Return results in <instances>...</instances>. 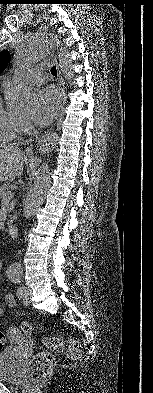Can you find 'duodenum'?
Wrapping results in <instances>:
<instances>
[{
  "instance_id": "duodenum-1",
  "label": "duodenum",
  "mask_w": 153,
  "mask_h": 393,
  "mask_svg": "<svg viewBox=\"0 0 153 393\" xmlns=\"http://www.w3.org/2000/svg\"><path fill=\"white\" fill-rule=\"evenodd\" d=\"M8 232H9L10 236L15 237L17 235V232H18L17 224H10V225H8Z\"/></svg>"
}]
</instances>
